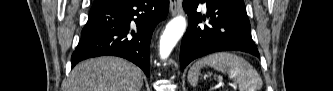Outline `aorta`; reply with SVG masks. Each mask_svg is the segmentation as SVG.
<instances>
[{"label": "aorta", "mask_w": 333, "mask_h": 91, "mask_svg": "<svg viewBox=\"0 0 333 91\" xmlns=\"http://www.w3.org/2000/svg\"><path fill=\"white\" fill-rule=\"evenodd\" d=\"M185 29L186 19L183 16H177L167 24L160 38L159 53L162 59L169 57Z\"/></svg>", "instance_id": "obj_1"}]
</instances>
